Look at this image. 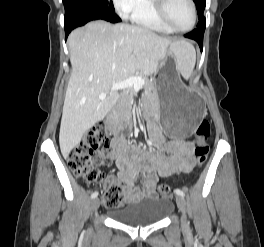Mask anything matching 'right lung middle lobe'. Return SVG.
Returning <instances> with one entry per match:
<instances>
[{
  "label": "right lung middle lobe",
  "instance_id": "1",
  "mask_svg": "<svg viewBox=\"0 0 264 247\" xmlns=\"http://www.w3.org/2000/svg\"><path fill=\"white\" fill-rule=\"evenodd\" d=\"M65 9L70 6L86 7L106 13H115L112 0H63Z\"/></svg>",
  "mask_w": 264,
  "mask_h": 247
}]
</instances>
